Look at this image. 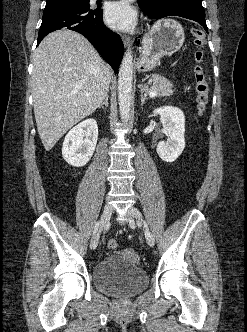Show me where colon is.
Returning a JSON list of instances; mask_svg holds the SVG:
<instances>
[{
    "label": "colon",
    "instance_id": "1",
    "mask_svg": "<svg viewBox=\"0 0 247 332\" xmlns=\"http://www.w3.org/2000/svg\"><path fill=\"white\" fill-rule=\"evenodd\" d=\"M192 35L196 46V51L194 53V59L196 62L194 67L195 103L198 112L203 113L209 99V86L202 67L206 35L203 30L198 28L192 30ZM107 247L110 250H114L117 248V242L114 239H109L107 241Z\"/></svg>",
    "mask_w": 247,
    "mask_h": 332
}]
</instances>
